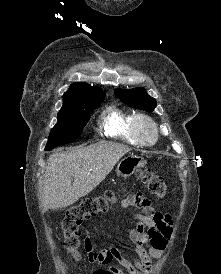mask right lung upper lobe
I'll list each match as a JSON object with an SVG mask.
<instances>
[{
  "label": "right lung upper lobe",
  "mask_w": 221,
  "mask_h": 274,
  "mask_svg": "<svg viewBox=\"0 0 221 274\" xmlns=\"http://www.w3.org/2000/svg\"><path fill=\"white\" fill-rule=\"evenodd\" d=\"M97 95H105V93L99 87H92L84 82H76L71 84L69 90L64 93L63 103L75 102L80 98Z\"/></svg>",
  "instance_id": "1"
}]
</instances>
